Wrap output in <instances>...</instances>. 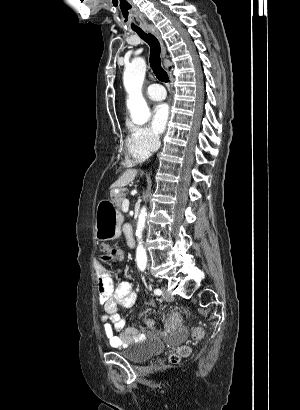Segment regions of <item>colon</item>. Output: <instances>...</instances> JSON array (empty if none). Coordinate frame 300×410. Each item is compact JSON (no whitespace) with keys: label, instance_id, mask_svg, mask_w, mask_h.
<instances>
[{"label":"colon","instance_id":"obj_1","mask_svg":"<svg viewBox=\"0 0 300 410\" xmlns=\"http://www.w3.org/2000/svg\"><path fill=\"white\" fill-rule=\"evenodd\" d=\"M122 248L120 247H109L105 250L101 256V261L106 264L116 262L122 256ZM184 318L179 315L178 312H171L168 318V323L173 327H180L183 323ZM194 336L196 338H202L204 336V330L202 328H197L194 330ZM190 353V348L187 345L182 346L176 354L170 356V361L176 363L181 357L186 356Z\"/></svg>","mask_w":300,"mask_h":410}]
</instances>
